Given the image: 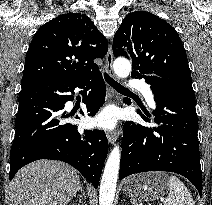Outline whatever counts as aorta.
<instances>
[{
	"label": "aorta",
	"instance_id": "obj_1",
	"mask_svg": "<svg viewBox=\"0 0 212 205\" xmlns=\"http://www.w3.org/2000/svg\"><path fill=\"white\" fill-rule=\"evenodd\" d=\"M113 68L116 75L120 78H126L131 73V64L125 58H117L113 63ZM120 158L121 149L119 145H115L108 156L101 178L99 205H113L120 168Z\"/></svg>",
	"mask_w": 212,
	"mask_h": 205
}]
</instances>
